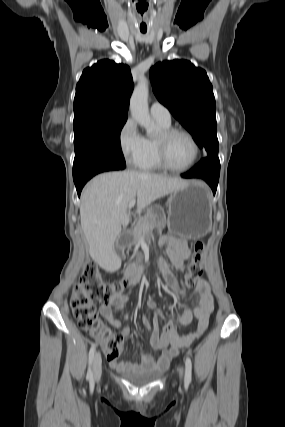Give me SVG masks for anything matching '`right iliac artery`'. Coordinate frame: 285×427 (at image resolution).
Wrapping results in <instances>:
<instances>
[{"instance_id": "82829eb1", "label": "right iliac artery", "mask_w": 285, "mask_h": 427, "mask_svg": "<svg viewBox=\"0 0 285 427\" xmlns=\"http://www.w3.org/2000/svg\"><path fill=\"white\" fill-rule=\"evenodd\" d=\"M95 349H96V346L93 344L91 346L90 351H89V368H88V372H87V377L86 378L91 383L93 382L92 362H93V358H94Z\"/></svg>"}]
</instances>
